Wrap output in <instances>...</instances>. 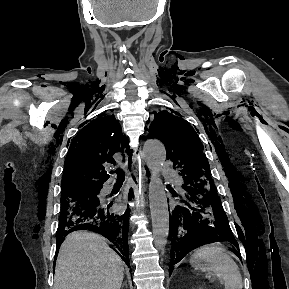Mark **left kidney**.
Returning a JSON list of instances; mask_svg holds the SVG:
<instances>
[{"mask_svg": "<svg viewBox=\"0 0 289 289\" xmlns=\"http://www.w3.org/2000/svg\"><path fill=\"white\" fill-rule=\"evenodd\" d=\"M198 289H204V288H202V287H199Z\"/></svg>", "mask_w": 289, "mask_h": 289, "instance_id": "left-kidney-1", "label": "left kidney"}]
</instances>
